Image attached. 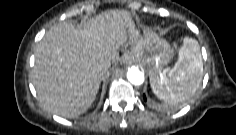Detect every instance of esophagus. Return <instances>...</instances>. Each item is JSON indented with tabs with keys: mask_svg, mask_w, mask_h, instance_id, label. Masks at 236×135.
Returning <instances> with one entry per match:
<instances>
[{
	"mask_svg": "<svg viewBox=\"0 0 236 135\" xmlns=\"http://www.w3.org/2000/svg\"><path fill=\"white\" fill-rule=\"evenodd\" d=\"M134 57L132 56V55H128L127 57H126V60H131V59H133Z\"/></svg>",
	"mask_w": 236,
	"mask_h": 135,
	"instance_id": "esophagus-1",
	"label": "esophagus"
}]
</instances>
